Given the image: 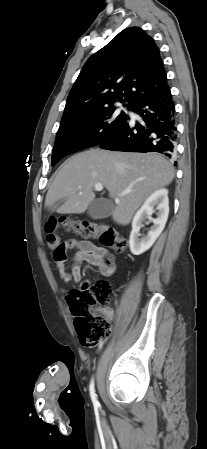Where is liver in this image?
<instances>
[{
  "mask_svg": "<svg viewBox=\"0 0 207 449\" xmlns=\"http://www.w3.org/2000/svg\"><path fill=\"white\" fill-rule=\"evenodd\" d=\"M173 178L171 163L156 153L90 149L65 161L47 192L45 207L54 210V204L63 199L57 213L81 214L95 198V184L101 183L109 197L117 199L113 220L127 225L146 198ZM127 190L131 192L120 196Z\"/></svg>",
  "mask_w": 207,
  "mask_h": 449,
  "instance_id": "1",
  "label": "liver"
}]
</instances>
